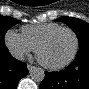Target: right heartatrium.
I'll return each instance as SVG.
<instances>
[{
	"instance_id": "obj_1",
	"label": "right heart atrium",
	"mask_w": 89,
	"mask_h": 89,
	"mask_svg": "<svg viewBox=\"0 0 89 89\" xmlns=\"http://www.w3.org/2000/svg\"><path fill=\"white\" fill-rule=\"evenodd\" d=\"M4 43L9 52L18 59H23L35 48L19 33L9 29L4 36Z\"/></svg>"
}]
</instances>
